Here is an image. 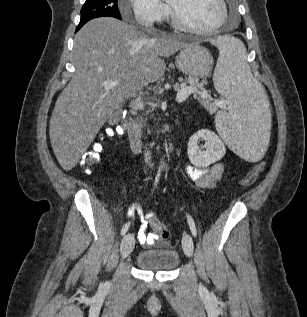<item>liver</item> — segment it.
Wrapping results in <instances>:
<instances>
[{"label": "liver", "instance_id": "1", "mask_svg": "<svg viewBox=\"0 0 307 317\" xmlns=\"http://www.w3.org/2000/svg\"><path fill=\"white\" fill-rule=\"evenodd\" d=\"M188 44L150 37L114 18H97L75 35V72L58 97L49 125L53 152L68 171L79 161L109 116L136 91L161 79L170 57ZM105 81L120 86L106 90Z\"/></svg>", "mask_w": 307, "mask_h": 317}]
</instances>
